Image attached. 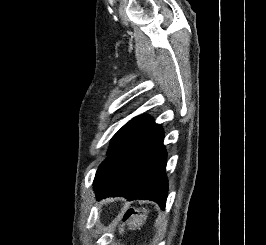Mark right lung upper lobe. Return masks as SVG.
Instances as JSON below:
<instances>
[{
	"mask_svg": "<svg viewBox=\"0 0 266 245\" xmlns=\"http://www.w3.org/2000/svg\"><path fill=\"white\" fill-rule=\"evenodd\" d=\"M153 119L148 117V116H139V117H136L135 120L133 121H145V122H150L152 121Z\"/></svg>",
	"mask_w": 266,
	"mask_h": 245,
	"instance_id": "1",
	"label": "right lung upper lobe"
}]
</instances>
